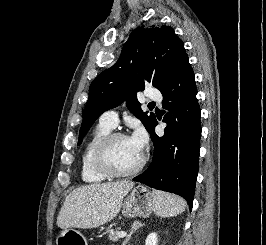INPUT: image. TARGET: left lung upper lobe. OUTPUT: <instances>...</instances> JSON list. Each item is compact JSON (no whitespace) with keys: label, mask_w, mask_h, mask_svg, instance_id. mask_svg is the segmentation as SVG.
<instances>
[{"label":"left lung upper lobe","mask_w":266,"mask_h":245,"mask_svg":"<svg viewBox=\"0 0 266 245\" xmlns=\"http://www.w3.org/2000/svg\"><path fill=\"white\" fill-rule=\"evenodd\" d=\"M187 57L183 42L170 26L136 28L123 46L118 61L90 85L78 145L100 114L125 100L148 131L155 115L141 110L137 92L144 89L146 82L162 90Z\"/></svg>","instance_id":"5c2ea615"}]
</instances>
